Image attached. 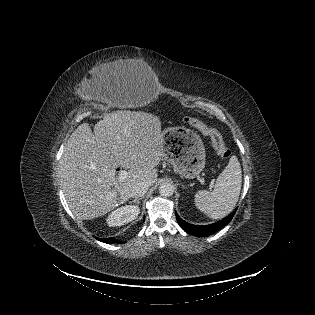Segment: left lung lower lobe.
Returning a JSON list of instances; mask_svg holds the SVG:
<instances>
[{"instance_id":"1","label":"left lung lower lobe","mask_w":315,"mask_h":315,"mask_svg":"<svg viewBox=\"0 0 315 315\" xmlns=\"http://www.w3.org/2000/svg\"><path fill=\"white\" fill-rule=\"evenodd\" d=\"M237 208L227 217H225L224 219L210 224V225H193V224H189L187 222H185L184 220H182L178 214L176 213V219L180 225V227L187 233L197 236V237H204V236H209L215 232H217L218 230L222 229L223 227H225L233 218L235 212H236Z\"/></svg>"}]
</instances>
